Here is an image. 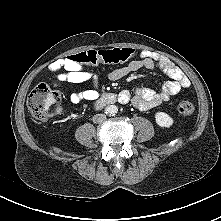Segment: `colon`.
<instances>
[{
  "mask_svg": "<svg viewBox=\"0 0 221 221\" xmlns=\"http://www.w3.org/2000/svg\"><path fill=\"white\" fill-rule=\"evenodd\" d=\"M137 51L132 48H115L109 50L90 49L72 55L68 60L79 66H96L100 63L118 64L136 56ZM61 95L45 84L37 85L29 94L28 109L35 121L43 123L54 117L60 110ZM194 105L182 101L177 105V111L182 116L194 113Z\"/></svg>",
  "mask_w": 221,
  "mask_h": 221,
  "instance_id": "colon-1",
  "label": "colon"
}]
</instances>
